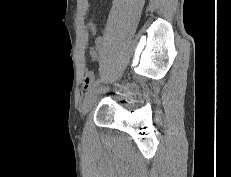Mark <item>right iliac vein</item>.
Returning a JSON list of instances; mask_svg holds the SVG:
<instances>
[{"mask_svg": "<svg viewBox=\"0 0 231 177\" xmlns=\"http://www.w3.org/2000/svg\"><path fill=\"white\" fill-rule=\"evenodd\" d=\"M98 91H99V88L95 87L86 93L84 102H83V113L84 114H87L92 108V106L94 105Z\"/></svg>", "mask_w": 231, "mask_h": 177, "instance_id": "63e3f726", "label": "right iliac vein"}]
</instances>
